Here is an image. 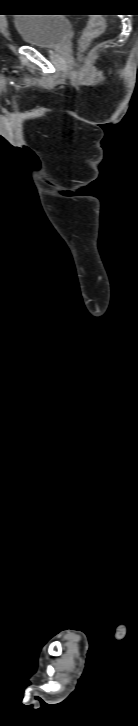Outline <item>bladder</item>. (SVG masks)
I'll use <instances>...</instances> for the list:
<instances>
[{
    "mask_svg": "<svg viewBox=\"0 0 138 726\" xmlns=\"http://www.w3.org/2000/svg\"><path fill=\"white\" fill-rule=\"evenodd\" d=\"M13 23L27 45L39 48H54L63 43L71 28L69 18L63 14H22Z\"/></svg>",
    "mask_w": 138,
    "mask_h": 726,
    "instance_id": "obj_1",
    "label": "bladder"
}]
</instances>
